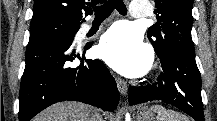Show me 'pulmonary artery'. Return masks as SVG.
<instances>
[{
    "label": "pulmonary artery",
    "instance_id": "obj_1",
    "mask_svg": "<svg viewBox=\"0 0 217 121\" xmlns=\"http://www.w3.org/2000/svg\"><path fill=\"white\" fill-rule=\"evenodd\" d=\"M130 16L132 18H144L149 16L148 14V5L143 2H131L130 3ZM91 25L85 24L81 28V33H86L90 30Z\"/></svg>",
    "mask_w": 217,
    "mask_h": 121
}]
</instances>
